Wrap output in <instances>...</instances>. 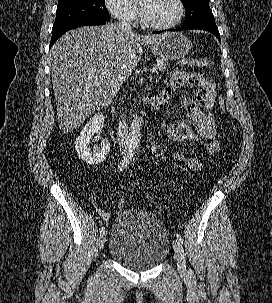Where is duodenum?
Returning a JSON list of instances; mask_svg holds the SVG:
<instances>
[{"label": "duodenum", "instance_id": "1", "mask_svg": "<svg viewBox=\"0 0 272 303\" xmlns=\"http://www.w3.org/2000/svg\"><path fill=\"white\" fill-rule=\"evenodd\" d=\"M170 98L169 93L162 91L159 94L145 100V104H147L151 109L158 110L163 108L168 103Z\"/></svg>", "mask_w": 272, "mask_h": 303}]
</instances>
